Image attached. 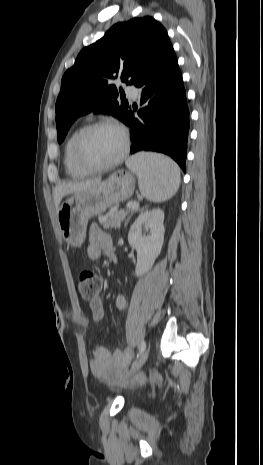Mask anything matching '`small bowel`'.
Wrapping results in <instances>:
<instances>
[{"instance_id":"obj_1","label":"small bowel","mask_w":263,"mask_h":465,"mask_svg":"<svg viewBox=\"0 0 263 465\" xmlns=\"http://www.w3.org/2000/svg\"><path fill=\"white\" fill-rule=\"evenodd\" d=\"M111 253H113L111 236L96 224H93L89 231L88 258L90 260H97L102 254L110 256ZM114 304L118 311H123L127 306L126 298L123 295H118L115 298ZM89 308L92 321H101L104 316V307L101 299L96 297L90 301ZM130 356L129 351L120 348L115 349L111 353L106 348L98 346L93 350L89 365L93 374L99 379L113 383L121 375L130 360Z\"/></svg>"}]
</instances>
